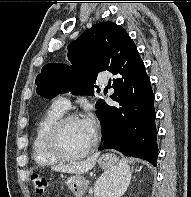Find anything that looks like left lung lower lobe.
Masks as SVG:
<instances>
[{"mask_svg":"<svg viewBox=\"0 0 191 197\" xmlns=\"http://www.w3.org/2000/svg\"><path fill=\"white\" fill-rule=\"evenodd\" d=\"M113 75L117 78L112 80L114 93L111 98L120 107L104 103L98 112L99 121L104 124L100 150L115 149L156 166L158 146L154 94L145 66Z\"/></svg>","mask_w":191,"mask_h":197,"instance_id":"obj_1","label":"left lung lower lobe"}]
</instances>
